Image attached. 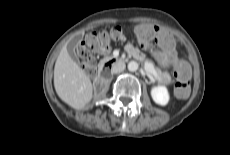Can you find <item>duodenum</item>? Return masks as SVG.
Returning a JSON list of instances; mask_svg holds the SVG:
<instances>
[{
    "mask_svg": "<svg viewBox=\"0 0 230 155\" xmlns=\"http://www.w3.org/2000/svg\"><path fill=\"white\" fill-rule=\"evenodd\" d=\"M119 61L120 59L111 58L103 64L99 76L96 80L97 85H100L102 82L105 81V74L109 72V69L112 65L116 64Z\"/></svg>",
    "mask_w": 230,
    "mask_h": 155,
    "instance_id": "1",
    "label": "duodenum"
}]
</instances>
